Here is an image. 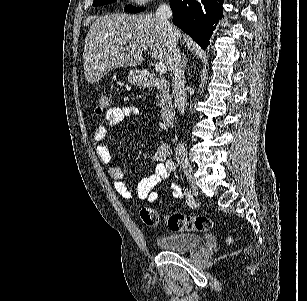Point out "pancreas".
Returning a JSON list of instances; mask_svg holds the SVG:
<instances>
[{"mask_svg": "<svg viewBox=\"0 0 307 301\" xmlns=\"http://www.w3.org/2000/svg\"><path fill=\"white\" fill-rule=\"evenodd\" d=\"M161 96H163V92H161V90H159V92H157L156 94V98H161ZM160 104V102H159Z\"/></svg>", "mask_w": 307, "mask_h": 301, "instance_id": "pancreas-1", "label": "pancreas"}]
</instances>
